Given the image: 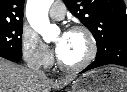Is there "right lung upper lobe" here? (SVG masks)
Segmentation results:
<instances>
[{
	"instance_id": "cb5924a9",
	"label": "right lung upper lobe",
	"mask_w": 127,
	"mask_h": 92,
	"mask_svg": "<svg viewBox=\"0 0 127 92\" xmlns=\"http://www.w3.org/2000/svg\"><path fill=\"white\" fill-rule=\"evenodd\" d=\"M24 0H0V25L22 24Z\"/></svg>"
}]
</instances>
